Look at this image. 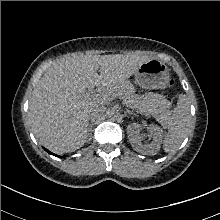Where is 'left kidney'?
<instances>
[{"label":"left kidney","instance_id":"1","mask_svg":"<svg viewBox=\"0 0 220 220\" xmlns=\"http://www.w3.org/2000/svg\"><path fill=\"white\" fill-rule=\"evenodd\" d=\"M142 129V126L138 123H132L127 127L128 138L133 149L145 155L157 154L162 142V129L156 125H150L147 130L153 140L146 145L141 143L140 131Z\"/></svg>","mask_w":220,"mask_h":220}]
</instances>
